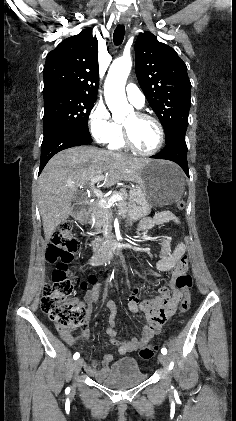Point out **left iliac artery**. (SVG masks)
I'll use <instances>...</instances> for the list:
<instances>
[{
    "mask_svg": "<svg viewBox=\"0 0 236 421\" xmlns=\"http://www.w3.org/2000/svg\"><path fill=\"white\" fill-rule=\"evenodd\" d=\"M161 353L164 354V355L167 354V349L166 348H162L161 349Z\"/></svg>",
    "mask_w": 236,
    "mask_h": 421,
    "instance_id": "left-iliac-artery-1",
    "label": "left iliac artery"
}]
</instances>
